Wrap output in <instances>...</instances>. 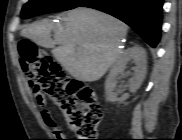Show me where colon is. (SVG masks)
<instances>
[{
    "label": "colon",
    "instance_id": "obj_1",
    "mask_svg": "<svg viewBox=\"0 0 182 140\" xmlns=\"http://www.w3.org/2000/svg\"><path fill=\"white\" fill-rule=\"evenodd\" d=\"M23 72L37 99L51 101L63 114L67 127L79 140H94L102 118L95 90L71 78L51 56L30 40L19 42Z\"/></svg>",
    "mask_w": 182,
    "mask_h": 140
}]
</instances>
